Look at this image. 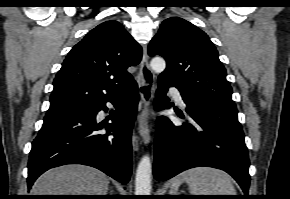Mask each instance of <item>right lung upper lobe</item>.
Listing matches in <instances>:
<instances>
[{
	"mask_svg": "<svg viewBox=\"0 0 290 199\" xmlns=\"http://www.w3.org/2000/svg\"><path fill=\"white\" fill-rule=\"evenodd\" d=\"M142 57L140 45L115 20L91 30L68 53L57 73L45 117L63 115L113 99L135 81L127 68Z\"/></svg>",
	"mask_w": 290,
	"mask_h": 199,
	"instance_id": "right-lung-upper-lobe-1",
	"label": "right lung upper lobe"
}]
</instances>
